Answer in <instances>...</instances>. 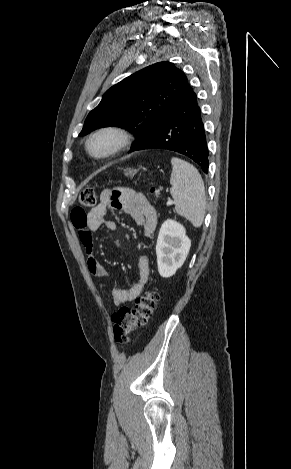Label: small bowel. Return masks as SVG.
I'll use <instances>...</instances> for the list:
<instances>
[{
    "instance_id": "obj_1",
    "label": "small bowel",
    "mask_w": 291,
    "mask_h": 469,
    "mask_svg": "<svg viewBox=\"0 0 291 469\" xmlns=\"http://www.w3.org/2000/svg\"><path fill=\"white\" fill-rule=\"evenodd\" d=\"M110 208L122 210L130 215L137 225L143 227L146 236H149L153 232L157 222L156 213L145 196L126 187L102 191L99 203L88 213L82 211L79 216L72 213V224L80 231V239L87 253V268L92 275L99 278L106 277L107 271L94 254L91 232L96 231L102 225L111 232L117 231L116 222L105 219L106 212ZM116 244L120 246V241L118 240ZM149 275L148 258L143 254L139 260L138 280L127 288L114 289L112 292L114 303L120 306L137 298L148 283Z\"/></svg>"
}]
</instances>
